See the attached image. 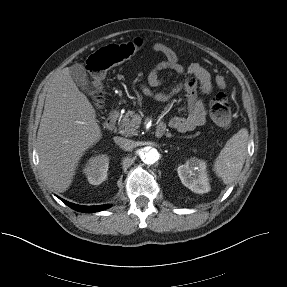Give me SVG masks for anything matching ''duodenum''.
Instances as JSON below:
<instances>
[{
    "label": "duodenum",
    "mask_w": 287,
    "mask_h": 287,
    "mask_svg": "<svg viewBox=\"0 0 287 287\" xmlns=\"http://www.w3.org/2000/svg\"><path fill=\"white\" fill-rule=\"evenodd\" d=\"M118 112L116 110H113L109 116L105 120V128L108 130H112L115 126L116 119H117ZM165 133V126L162 124H159L156 128V135L162 136Z\"/></svg>",
    "instance_id": "obj_1"
}]
</instances>
